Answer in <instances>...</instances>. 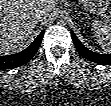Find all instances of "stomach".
<instances>
[{
  "mask_svg": "<svg viewBox=\"0 0 111 106\" xmlns=\"http://www.w3.org/2000/svg\"><path fill=\"white\" fill-rule=\"evenodd\" d=\"M83 5L87 11L97 15H102L110 5L108 0H85Z\"/></svg>",
  "mask_w": 111,
  "mask_h": 106,
  "instance_id": "stomach-1",
  "label": "stomach"
}]
</instances>
